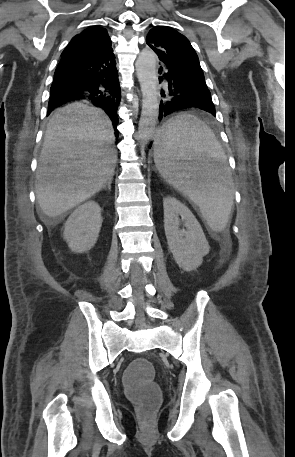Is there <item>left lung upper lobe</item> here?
<instances>
[{
	"label": "left lung upper lobe",
	"mask_w": 295,
	"mask_h": 457,
	"mask_svg": "<svg viewBox=\"0 0 295 457\" xmlns=\"http://www.w3.org/2000/svg\"><path fill=\"white\" fill-rule=\"evenodd\" d=\"M146 43L153 45L169 58L191 69L202 71L198 56L189 40L175 29L167 26L153 27L147 35ZM204 84L206 85L205 81Z\"/></svg>",
	"instance_id": "5c2ea615"
}]
</instances>
